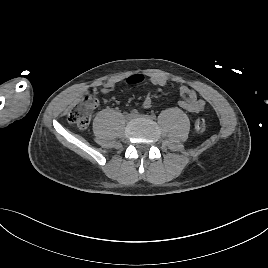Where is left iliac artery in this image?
Masks as SVG:
<instances>
[{
  "mask_svg": "<svg viewBox=\"0 0 268 268\" xmlns=\"http://www.w3.org/2000/svg\"><path fill=\"white\" fill-rule=\"evenodd\" d=\"M150 118H151V119H155V118H156V115H155V114H151V115H150Z\"/></svg>",
  "mask_w": 268,
  "mask_h": 268,
  "instance_id": "1",
  "label": "left iliac artery"
}]
</instances>
